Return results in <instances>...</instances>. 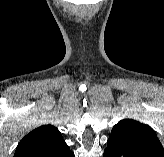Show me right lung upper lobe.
<instances>
[{"label":"right lung upper lobe","instance_id":"1","mask_svg":"<svg viewBox=\"0 0 164 157\" xmlns=\"http://www.w3.org/2000/svg\"><path fill=\"white\" fill-rule=\"evenodd\" d=\"M63 141L58 129L42 125L28 133L18 144L13 157H37Z\"/></svg>","mask_w":164,"mask_h":157}]
</instances>
